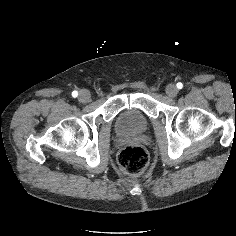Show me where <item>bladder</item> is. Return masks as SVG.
Returning <instances> with one entry per match:
<instances>
[{
	"label": "bladder",
	"instance_id": "31cf9c89",
	"mask_svg": "<svg viewBox=\"0 0 236 236\" xmlns=\"http://www.w3.org/2000/svg\"><path fill=\"white\" fill-rule=\"evenodd\" d=\"M148 126V117L136 108H125L115 122L116 130L122 134H140L145 132Z\"/></svg>",
	"mask_w": 236,
	"mask_h": 236
}]
</instances>
